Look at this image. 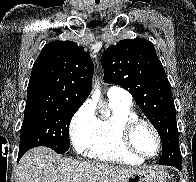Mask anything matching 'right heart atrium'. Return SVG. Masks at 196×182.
Wrapping results in <instances>:
<instances>
[{
	"label": "right heart atrium",
	"mask_w": 196,
	"mask_h": 182,
	"mask_svg": "<svg viewBox=\"0 0 196 182\" xmlns=\"http://www.w3.org/2000/svg\"><path fill=\"white\" fill-rule=\"evenodd\" d=\"M97 118L91 103L83 104L72 117L70 136L78 153L88 151L96 130Z\"/></svg>",
	"instance_id": "right-heart-atrium-1"
}]
</instances>
